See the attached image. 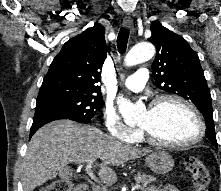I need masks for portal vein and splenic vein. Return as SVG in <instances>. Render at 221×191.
<instances>
[{
  "mask_svg": "<svg viewBox=\"0 0 221 191\" xmlns=\"http://www.w3.org/2000/svg\"><path fill=\"white\" fill-rule=\"evenodd\" d=\"M92 161L91 162H89L88 164H87V166H86V172H87V174L91 177V178H93L95 181H98L97 179H95L94 177H93V174H92V172H91V167H92ZM138 188H140V185L139 184H136L134 187H133V189H138Z\"/></svg>",
  "mask_w": 221,
  "mask_h": 191,
  "instance_id": "1",
  "label": "portal vein and splenic vein"
}]
</instances>
